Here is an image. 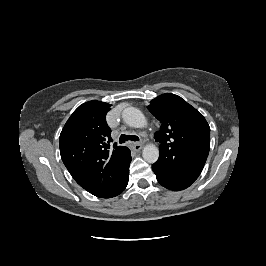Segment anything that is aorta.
<instances>
[{
  "instance_id": "762f6f07",
  "label": "aorta",
  "mask_w": 266,
  "mask_h": 266,
  "mask_svg": "<svg viewBox=\"0 0 266 266\" xmlns=\"http://www.w3.org/2000/svg\"><path fill=\"white\" fill-rule=\"evenodd\" d=\"M126 124L134 128H142L146 125L144 114L135 107H128L122 112ZM142 157L148 163H155L159 158V149L153 144H147L142 150Z\"/></svg>"
}]
</instances>
